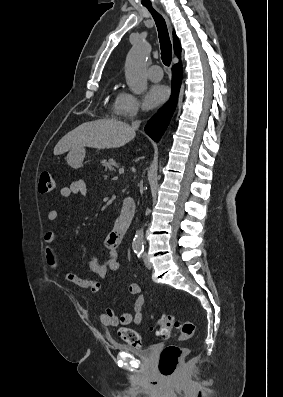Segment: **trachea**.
Segmentation results:
<instances>
[{"label":"trachea","mask_w":283,"mask_h":397,"mask_svg":"<svg viewBox=\"0 0 283 397\" xmlns=\"http://www.w3.org/2000/svg\"><path fill=\"white\" fill-rule=\"evenodd\" d=\"M145 7L150 11L156 23L161 48V59L163 64L168 67L170 66L172 60V45L166 22L164 18L152 8L151 5H145Z\"/></svg>","instance_id":"trachea-1"}]
</instances>
